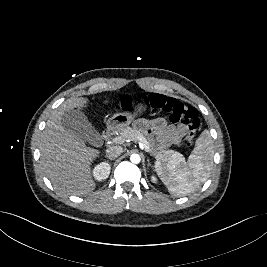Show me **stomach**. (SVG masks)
<instances>
[{
	"mask_svg": "<svg viewBox=\"0 0 267 267\" xmlns=\"http://www.w3.org/2000/svg\"><path fill=\"white\" fill-rule=\"evenodd\" d=\"M145 110V107L139 108V112ZM137 113L122 112L116 113L107 121V127L112 130L122 131L129 126L136 117Z\"/></svg>",
	"mask_w": 267,
	"mask_h": 267,
	"instance_id": "stomach-1",
	"label": "stomach"
}]
</instances>
